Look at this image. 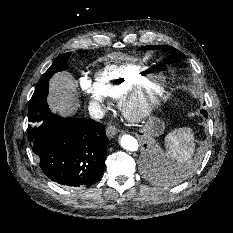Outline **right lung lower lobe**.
I'll return each mask as SVG.
<instances>
[{
    "mask_svg": "<svg viewBox=\"0 0 233 233\" xmlns=\"http://www.w3.org/2000/svg\"><path fill=\"white\" fill-rule=\"evenodd\" d=\"M107 141L101 123L50 113L32 143V150L42 171L52 181L88 187L102 176Z\"/></svg>",
    "mask_w": 233,
    "mask_h": 233,
    "instance_id": "right-lung-lower-lobe-1",
    "label": "right lung lower lobe"
}]
</instances>
